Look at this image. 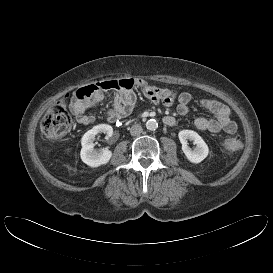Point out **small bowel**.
Here are the masks:
<instances>
[{
	"label": "small bowel",
	"mask_w": 273,
	"mask_h": 273,
	"mask_svg": "<svg viewBox=\"0 0 273 273\" xmlns=\"http://www.w3.org/2000/svg\"><path fill=\"white\" fill-rule=\"evenodd\" d=\"M140 90L153 103H161L170 106L174 102L172 92L168 89L158 88L145 80H136L134 87L131 89L116 90L113 98L112 107L107 111L109 121L116 122L127 117L134 109L137 97L135 90ZM104 99V93L98 91L91 98L85 100H74L71 104V110L76 121L81 125H89L94 119L86 112L100 103ZM192 95L189 92H182L177 98L176 111L179 115L184 116L189 112V104ZM201 106L214 115L213 119L198 117L194 125L199 130L218 133L224 131L228 134H234L237 131V124L231 119L230 110L224 104L213 99H203ZM173 116H166L164 123L168 126L175 125Z\"/></svg>",
	"instance_id": "obj_1"
}]
</instances>
